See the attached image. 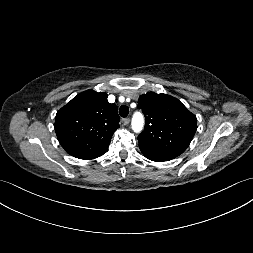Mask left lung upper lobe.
<instances>
[{"label":"left lung upper lobe","mask_w":253,"mask_h":253,"mask_svg":"<svg viewBox=\"0 0 253 253\" xmlns=\"http://www.w3.org/2000/svg\"><path fill=\"white\" fill-rule=\"evenodd\" d=\"M138 107L145 115V128L138 135L139 147L179 156L189 146L197 129L196 116L178 99L149 92Z\"/></svg>","instance_id":"left-lung-upper-lobe-1"}]
</instances>
